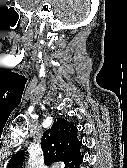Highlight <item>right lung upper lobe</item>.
<instances>
[{"label": "right lung upper lobe", "mask_w": 127, "mask_h": 168, "mask_svg": "<svg viewBox=\"0 0 127 168\" xmlns=\"http://www.w3.org/2000/svg\"><path fill=\"white\" fill-rule=\"evenodd\" d=\"M77 128L66 119L54 120L52 127L43 133L41 147L45 164L61 161L65 168H72L81 158L82 143L77 138ZM24 153L19 151L10 159L7 168H21Z\"/></svg>", "instance_id": "right-lung-upper-lobe-1"}]
</instances>
